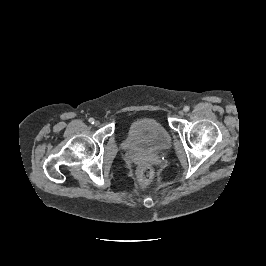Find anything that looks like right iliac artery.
<instances>
[{
	"instance_id": "1",
	"label": "right iliac artery",
	"mask_w": 266,
	"mask_h": 266,
	"mask_svg": "<svg viewBox=\"0 0 266 266\" xmlns=\"http://www.w3.org/2000/svg\"><path fill=\"white\" fill-rule=\"evenodd\" d=\"M89 123H91V124H94V119L93 118H89Z\"/></svg>"
}]
</instances>
